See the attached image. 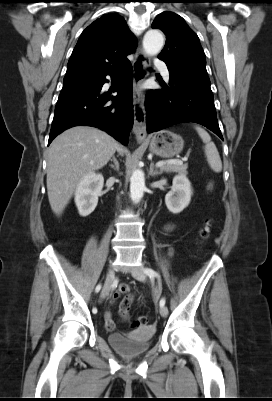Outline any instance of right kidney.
Returning a JSON list of instances; mask_svg holds the SVG:
<instances>
[{
  "label": "right kidney",
  "instance_id": "1",
  "mask_svg": "<svg viewBox=\"0 0 272 401\" xmlns=\"http://www.w3.org/2000/svg\"><path fill=\"white\" fill-rule=\"evenodd\" d=\"M104 178L102 174L94 172L84 176L77 185L75 204L81 216L90 215L96 208L98 197L102 193Z\"/></svg>",
  "mask_w": 272,
  "mask_h": 401
}]
</instances>
